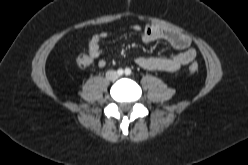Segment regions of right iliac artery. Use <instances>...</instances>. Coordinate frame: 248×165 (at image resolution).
Wrapping results in <instances>:
<instances>
[{
	"label": "right iliac artery",
	"instance_id": "82829eb1",
	"mask_svg": "<svg viewBox=\"0 0 248 165\" xmlns=\"http://www.w3.org/2000/svg\"><path fill=\"white\" fill-rule=\"evenodd\" d=\"M117 73H118L119 75H122V74H123V70H122V69H118Z\"/></svg>",
	"mask_w": 248,
	"mask_h": 165
}]
</instances>
